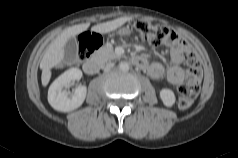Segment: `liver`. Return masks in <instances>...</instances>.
<instances>
[{"instance_id":"obj_1","label":"liver","mask_w":238,"mask_h":158,"mask_svg":"<svg viewBox=\"0 0 238 158\" xmlns=\"http://www.w3.org/2000/svg\"><path fill=\"white\" fill-rule=\"evenodd\" d=\"M129 18L121 17L112 21L101 23L92 27V31L104 34L116 30L121 27ZM89 23L79 24L65 29L47 48L41 63L42 69L41 82L45 87L48 85L51 78V69L59 64L64 58V45L71 38L74 37L89 28Z\"/></svg>"}]
</instances>
